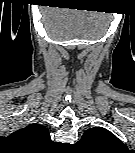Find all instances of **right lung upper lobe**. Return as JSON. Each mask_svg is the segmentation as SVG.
Wrapping results in <instances>:
<instances>
[{
  "label": "right lung upper lobe",
  "mask_w": 135,
  "mask_h": 153,
  "mask_svg": "<svg viewBox=\"0 0 135 153\" xmlns=\"http://www.w3.org/2000/svg\"><path fill=\"white\" fill-rule=\"evenodd\" d=\"M20 139L33 143L35 145H43L50 141L48 129L40 124H30L13 133Z\"/></svg>",
  "instance_id": "right-lung-upper-lobe-1"
}]
</instances>
